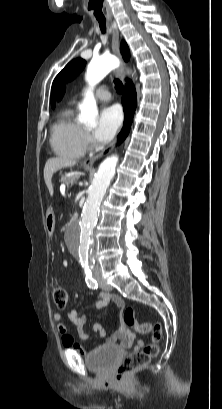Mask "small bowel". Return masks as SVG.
I'll return each instance as SVG.
<instances>
[{
	"instance_id": "c3829d8e",
	"label": "small bowel",
	"mask_w": 222,
	"mask_h": 409,
	"mask_svg": "<svg viewBox=\"0 0 222 409\" xmlns=\"http://www.w3.org/2000/svg\"><path fill=\"white\" fill-rule=\"evenodd\" d=\"M110 302H112L121 313L124 312V301L118 295H112L106 292H100L97 294L95 307L98 310H103ZM68 319L77 327L78 337L82 340L88 339L89 334L84 330L85 317L83 315H80L77 310L73 309L68 312ZM54 321L59 333L63 336H66L67 328L62 322V316L60 314H56L54 316ZM93 331L95 333H99L101 339L105 343H115L117 341H120L119 345L123 349H130L132 347L138 349L143 345V341L141 340L135 343L134 333L127 327L124 320L122 321L119 329L112 333H107L105 329L99 324L94 325ZM68 337L69 339L67 341H63V343L67 347L73 348L76 352L82 355L87 353V350L81 344L77 343L71 336Z\"/></svg>"
}]
</instances>
